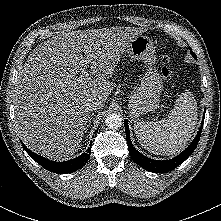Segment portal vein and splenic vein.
Masks as SVG:
<instances>
[{
    "mask_svg": "<svg viewBox=\"0 0 221 221\" xmlns=\"http://www.w3.org/2000/svg\"><path fill=\"white\" fill-rule=\"evenodd\" d=\"M85 67H86V66H84V68L81 70V73H82V74H81L80 78H81L82 80H86V79L89 78V74L87 73Z\"/></svg>",
    "mask_w": 221,
    "mask_h": 221,
    "instance_id": "obj_1",
    "label": "portal vein and splenic vein"
}]
</instances>
